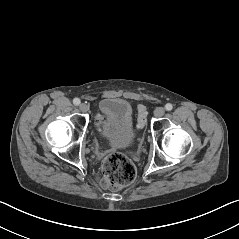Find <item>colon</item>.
Wrapping results in <instances>:
<instances>
[{"label": "colon", "instance_id": "colon-1", "mask_svg": "<svg viewBox=\"0 0 239 239\" xmlns=\"http://www.w3.org/2000/svg\"><path fill=\"white\" fill-rule=\"evenodd\" d=\"M137 127L140 129L146 122V109L140 105L138 107ZM100 122V118L97 119ZM136 176V169L133 162L123 154L110 153L102 163L101 182L111 189H120L133 182Z\"/></svg>", "mask_w": 239, "mask_h": 239}]
</instances>
